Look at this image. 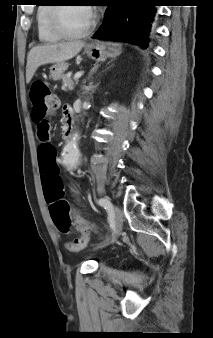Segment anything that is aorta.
<instances>
[{
  "mask_svg": "<svg viewBox=\"0 0 213 338\" xmlns=\"http://www.w3.org/2000/svg\"><path fill=\"white\" fill-rule=\"evenodd\" d=\"M84 103L83 105H87ZM79 134L75 132L63 150V165L67 169H75L79 164L80 152L78 149Z\"/></svg>",
  "mask_w": 213,
  "mask_h": 338,
  "instance_id": "aorta-1",
  "label": "aorta"
}]
</instances>
